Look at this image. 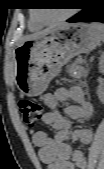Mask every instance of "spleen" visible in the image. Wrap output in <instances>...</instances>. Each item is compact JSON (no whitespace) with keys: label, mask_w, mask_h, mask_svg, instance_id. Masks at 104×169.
Masks as SVG:
<instances>
[{"label":"spleen","mask_w":104,"mask_h":169,"mask_svg":"<svg viewBox=\"0 0 104 169\" xmlns=\"http://www.w3.org/2000/svg\"><path fill=\"white\" fill-rule=\"evenodd\" d=\"M94 25H96V24H94ZM97 26H99L100 28H102V29H103V27H102L101 25H97Z\"/></svg>","instance_id":"1"}]
</instances>
